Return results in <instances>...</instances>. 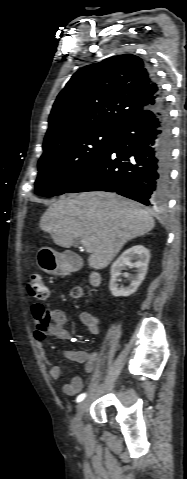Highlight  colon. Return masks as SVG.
Here are the masks:
<instances>
[{
    "label": "colon",
    "mask_w": 187,
    "mask_h": 479,
    "mask_svg": "<svg viewBox=\"0 0 187 479\" xmlns=\"http://www.w3.org/2000/svg\"><path fill=\"white\" fill-rule=\"evenodd\" d=\"M27 293L33 299H45L48 295V289L44 283L43 276L40 273H33L27 282ZM71 297L81 299L83 292L76 287L71 291ZM32 314L36 324V334L39 339H44L51 334L52 315L51 312L42 304H33Z\"/></svg>",
    "instance_id": "colon-1"
}]
</instances>
